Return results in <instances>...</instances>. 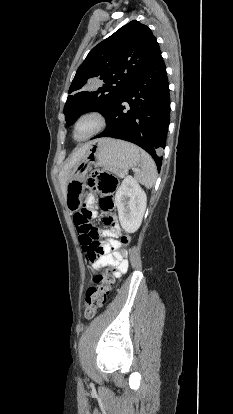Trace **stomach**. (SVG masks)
<instances>
[{
  "label": "stomach",
  "instance_id": "1",
  "mask_svg": "<svg viewBox=\"0 0 233 414\" xmlns=\"http://www.w3.org/2000/svg\"><path fill=\"white\" fill-rule=\"evenodd\" d=\"M85 158L72 170L66 187V202L74 210L84 194V177L91 166L117 172L137 167L141 162L140 149L128 142L115 139H97L89 143Z\"/></svg>",
  "mask_w": 233,
  "mask_h": 414
}]
</instances>
